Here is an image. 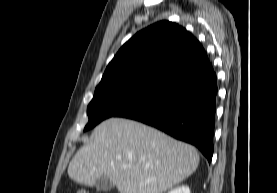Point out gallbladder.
<instances>
[{"mask_svg":"<svg viewBox=\"0 0 277 193\" xmlns=\"http://www.w3.org/2000/svg\"><path fill=\"white\" fill-rule=\"evenodd\" d=\"M97 190L109 191L114 188V183L111 182L107 177L101 176L95 182Z\"/></svg>","mask_w":277,"mask_h":193,"instance_id":"1","label":"gallbladder"}]
</instances>
